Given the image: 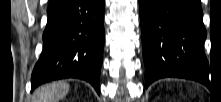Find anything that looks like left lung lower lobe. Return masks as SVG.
Instances as JSON below:
<instances>
[{
	"instance_id": "0a47b994",
	"label": "left lung lower lobe",
	"mask_w": 221,
	"mask_h": 102,
	"mask_svg": "<svg viewBox=\"0 0 221 102\" xmlns=\"http://www.w3.org/2000/svg\"><path fill=\"white\" fill-rule=\"evenodd\" d=\"M145 84L177 77L209 84L199 0H139Z\"/></svg>"
}]
</instances>
